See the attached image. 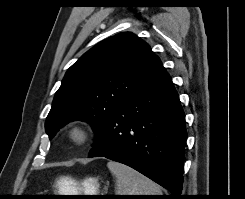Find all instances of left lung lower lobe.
Segmentation results:
<instances>
[{
  "label": "left lung lower lobe",
  "mask_w": 245,
  "mask_h": 199,
  "mask_svg": "<svg viewBox=\"0 0 245 199\" xmlns=\"http://www.w3.org/2000/svg\"><path fill=\"white\" fill-rule=\"evenodd\" d=\"M186 139L179 96L161 64L140 91L112 112L89 157L130 166L178 199Z\"/></svg>",
  "instance_id": "left-lung-lower-lobe-1"
}]
</instances>
